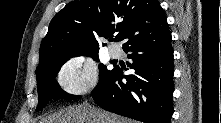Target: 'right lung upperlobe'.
Masks as SVG:
<instances>
[{
	"label": "right lung upper lobe",
	"instance_id": "cb5924a9",
	"mask_svg": "<svg viewBox=\"0 0 221 123\" xmlns=\"http://www.w3.org/2000/svg\"><path fill=\"white\" fill-rule=\"evenodd\" d=\"M170 34L157 0H81L67 4L51 20L41 42L39 65L96 52V37L126 40V50Z\"/></svg>",
	"mask_w": 221,
	"mask_h": 123
}]
</instances>
